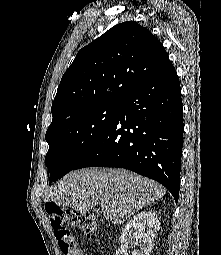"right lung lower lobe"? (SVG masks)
<instances>
[{"mask_svg": "<svg viewBox=\"0 0 221 255\" xmlns=\"http://www.w3.org/2000/svg\"><path fill=\"white\" fill-rule=\"evenodd\" d=\"M181 88L170 60L120 102L109 127L73 170L119 167L156 180L179 198Z\"/></svg>", "mask_w": 221, "mask_h": 255, "instance_id": "1", "label": "right lung lower lobe"}]
</instances>
